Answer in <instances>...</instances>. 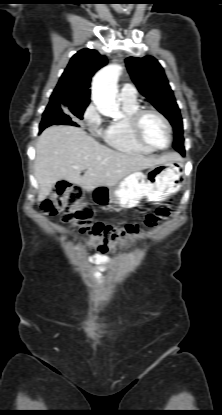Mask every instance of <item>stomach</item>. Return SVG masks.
I'll use <instances>...</instances> for the list:
<instances>
[{
    "label": "stomach",
    "instance_id": "obj_1",
    "mask_svg": "<svg viewBox=\"0 0 222 415\" xmlns=\"http://www.w3.org/2000/svg\"><path fill=\"white\" fill-rule=\"evenodd\" d=\"M183 177L182 161L172 160L155 165L146 173L134 172L112 187H96L91 195L101 207L130 209L136 207L143 198L157 204L180 190Z\"/></svg>",
    "mask_w": 222,
    "mask_h": 415
}]
</instances>
